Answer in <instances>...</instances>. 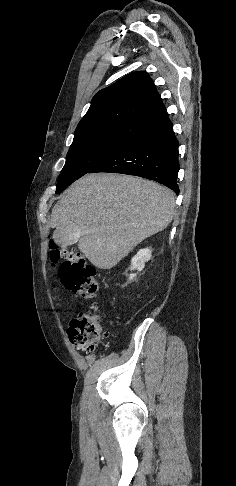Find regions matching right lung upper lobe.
<instances>
[{"mask_svg":"<svg viewBox=\"0 0 236 486\" xmlns=\"http://www.w3.org/2000/svg\"><path fill=\"white\" fill-rule=\"evenodd\" d=\"M162 110L165 106L149 75L132 72L95 94L74 134L114 124H139Z\"/></svg>","mask_w":236,"mask_h":486,"instance_id":"cb5924a9","label":"right lung upper lobe"}]
</instances>
